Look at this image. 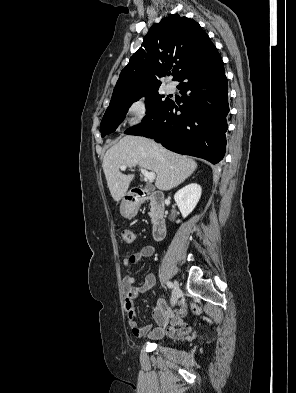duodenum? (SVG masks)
I'll use <instances>...</instances> for the list:
<instances>
[{"label":"duodenum","mask_w":296,"mask_h":393,"mask_svg":"<svg viewBox=\"0 0 296 393\" xmlns=\"http://www.w3.org/2000/svg\"><path fill=\"white\" fill-rule=\"evenodd\" d=\"M145 199H149L151 204L153 238L156 241H163L167 233L164 194L161 191H146L136 188L130 193L128 204L132 209H136Z\"/></svg>","instance_id":"duodenum-1"}]
</instances>
